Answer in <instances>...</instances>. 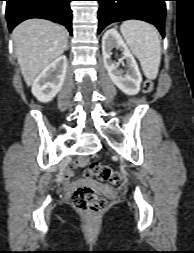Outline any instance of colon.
Returning a JSON list of instances; mask_svg holds the SVG:
<instances>
[{
	"label": "colon",
	"mask_w": 194,
	"mask_h": 253,
	"mask_svg": "<svg viewBox=\"0 0 194 253\" xmlns=\"http://www.w3.org/2000/svg\"><path fill=\"white\" fill-rule=\"evenodd\" d=\"M143 89L146 93L151 92L153 89L152 83L150 81H145ZM76 164L80 167H85L88 165V161L86 158L80 157ZM87 175L94 176L103 181H108L112 185H117L121 181V174L118 171L98 162L89 164ZM72 202L76 209L88 213H99L106 207L105 198L90 187L77 188L73 193Z\"/></svg>",
	"instance_id": "colon-1"
}]
</instances>
